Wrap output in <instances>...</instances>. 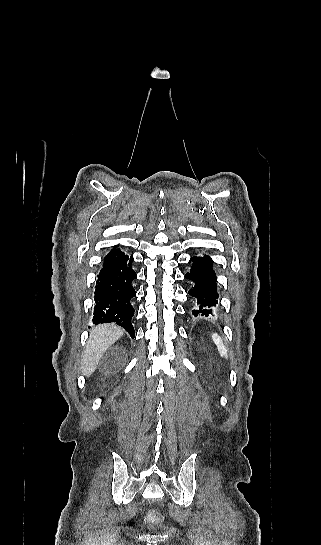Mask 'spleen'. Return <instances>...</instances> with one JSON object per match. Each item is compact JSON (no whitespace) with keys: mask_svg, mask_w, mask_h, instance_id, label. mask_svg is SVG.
Here are the masks:
<instances>
[{"mask_svg":"<svg viewBox=\"0 0 321 545\" xmlns=\"http://www.w3.org/2000/svg\"><path fill=\"white\" fill-rule=\"evenodd\" d=\"M211 337H212V341H213V343H215L221 357H224V359H227V357H228L227 349H226L221 337H219L218 333H212Z\"/></svg>","mask_w":321,"mask_h":545,"instance_id":"1","label":"spleen"}]
</instances>
